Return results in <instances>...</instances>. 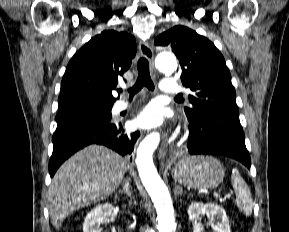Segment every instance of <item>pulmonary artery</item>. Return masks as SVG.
<instances>
[{
	"mask_svg": "<svg viewBox=\"0 0 289 232\" xmlns=\"http://www.w3.org/2000/svg\"><path fill=\"white\" fill-rule=\"evenodd\" d=\"M160 90L165 94H177L181 91V87L175 79L165 78L160 83ZM130 106L125 100H118L114 105V111L120 112Z\"/></svg>",
	"mask_w": 289,
	"mask_h": 232,
	"instance_id": "e3ab8cb5",
	"label": "pulmonary artery"
}]
</instances>
